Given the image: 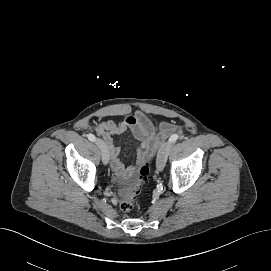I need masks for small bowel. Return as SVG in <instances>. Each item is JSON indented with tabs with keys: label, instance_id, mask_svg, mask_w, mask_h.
<instances>
[{
	"label": "small bowel",
	"instance_id": "obj_1",
	"mask_svg": "<svg viewBox=\"0 0 271 271\" xmlns=\"http://www.w3.org/2000/svg\"><path fill=\"white\" fill-rule=\"evenodd\" d=\"M175 129V126L172 124L162 123L160 125V134L156 135L153 123L142 112L129 115L120 122L109 120L96 127L97 133L102 136L108 147L111 169L120 181L128 180L132 176L135 167H127L120 161V148L114 144V135L130 132L138 142L137 161L143 163L147 160H152L160 142Z\"/></svg>",
	"mask_w": 271,
	"mask_h": 271
}]
</instances>
